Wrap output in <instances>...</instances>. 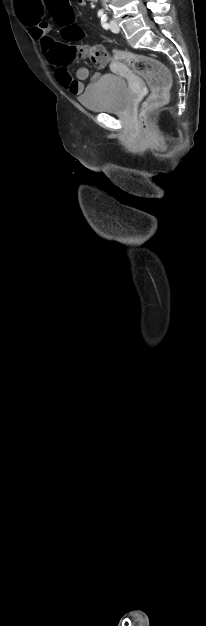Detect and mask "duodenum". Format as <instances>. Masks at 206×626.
<instances>
[{
  "label": "duodenum",
  "instance_id": "obj_1",
  "mask_svg": "<svg viewBox=\"0 0 206 626\" xmlns=\"http://www.w3.org/2000/svg\"><path fill=\"white\" fill-rule=\"evenodd\" d=\"M90 1H92V2H97L98 0H90Z\"/></svg>",
  "mask_w": 206,
  "mask_h": 626
}]
</instances>
